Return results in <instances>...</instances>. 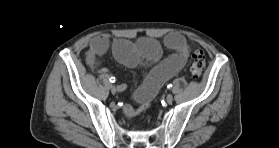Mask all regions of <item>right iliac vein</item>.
I'll list each match as a JSON object with an SVG mask.
<instances>
[{"instance_id":"obj_1","label":"right iliac vein","mask_w":279,"mask_h":148,"mask_svg":"<svg viewBox=\"0 0 279 148\" xmlns=\"http://www.w3.org/2000/svg\"><path fill=\"white\" fill-rule=\"evenodd\" d=\"M120 87H122V85ZM111 92H112V94H116L118 92V88L114 85L111 86Z\"/></svg>"}]
</instances>
